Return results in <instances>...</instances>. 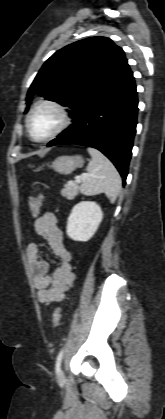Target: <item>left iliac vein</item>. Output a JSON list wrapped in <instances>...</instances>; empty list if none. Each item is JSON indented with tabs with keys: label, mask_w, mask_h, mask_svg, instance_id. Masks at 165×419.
<instances>
[{
	"label": "left iliac vein",
	"mask_w": 165,
	"mask_h": 419,
	"mask_svg": "<svg viewBox=\"0 0 165 419\" xmlns=\"http://www.w3.org/2000/svg\"><path fill=\"white\" fill-rule=\"evenodd\" d=\"M58 377H59V379H63L64 378V372H63L62 369L59 370Z\"/></svg>",
	"instance_id": "1"
}]
</instances>
